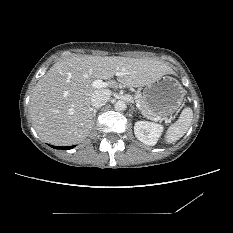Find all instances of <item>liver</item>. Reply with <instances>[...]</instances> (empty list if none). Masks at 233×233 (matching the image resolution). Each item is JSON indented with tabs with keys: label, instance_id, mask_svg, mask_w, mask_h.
Segmentation results:
<instances>
[{
	"label": "liver",
	"instance_id": "6515ba94",
	"mask_svg": "<svg viewBox=\"0 0 233 233\" xmlns=\"http://www.w3.org/2000/svg\"><path fill=\"white\" fill-rule=\"evenodd\" d=\"M171 73L173 70L166 63L155 59L91 55L62 59L39 79L33 90V126L48 143L76 144L90 134L94 124L91 96L101 88H94L93 81L116 75L125 86L144 87ZM114 86L115 82H109L106 87Z\"/></svg>",
	"mask_w": 233,
	"mask_h": 233
}]
</instances>
